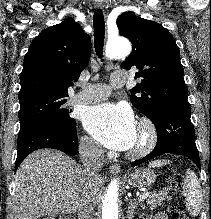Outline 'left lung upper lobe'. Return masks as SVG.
I'll return each mask as SVG.
<instances>
[{
  "instance_id": "obj_1",
  "label": "left lung upper lobe",
  "mask_w": 211,
  "mask_h": 219,
  "mask_svg": "<svg viewBox=\"0 0 211 219\" xmlns=\"http://www.w3.org/2000/svg\"><path fill=\"white\" fill-rule=\"evenodd\" d=\"M119 33L130 39L132 53L122 68L136 66L141 82L131 89L133 105L152 119L170 103H188L180 53L170 32L160 24L123 13L117 19Z\"/></svg>"
}]
</instances>
